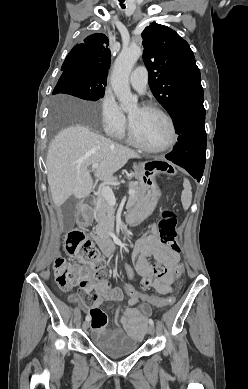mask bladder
<instances>
[{
	"label": "bladder",
	"instance_id": "bladder-1",
	"mask_svg": "<svg viewBox=\"0 0 248 389\" xmlns=\"http://www.w3.org/2000/svg\"><path fill=\"white\" fill-rule=\"evenodd\" d=\"M109 330H95L92 334L93 345L111 358H121L133 354L139 348L138 342L126 334H112Z\"/></svg>",
	"mask_w": 248,
	"mask_h": 389
}]
</instances>
